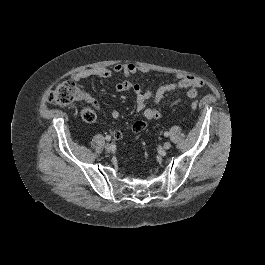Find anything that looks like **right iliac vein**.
<instances>
[{"label": "right iliac vein", "instance_id": "1", "mask_svg": "<svg viewBox=\"0 0 265 265\" xmlns=\"http://www.w3.org/2000/svg\"><path fill=\"white\" fill-rule=\"evenodd\" d=\"M105 150H106L107 152L112 151V145L109 144V143H107V144L105 145Z\"/></svg>", "mask_w": 265, "mask_h": 265}]
</instances>
